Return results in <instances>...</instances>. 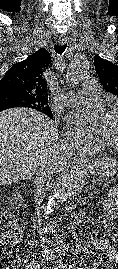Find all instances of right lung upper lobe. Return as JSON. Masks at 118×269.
Wrapping results in <instances>:
<instances>
[{
	"label": "right lung upper lobe",
	"mask_w": 118,
	"mask_h": 269,
	"mask_svg": "<svg viewBox=\"0 0 118 269\" xmlns=\"http://www.w3.org/2000/svg\"><path fill=\"white\" fill-rule=\"evenodd\" d=\"M50 65L51 57L45 48H40L26 60L14 64L0 80V109L12 108L8 96L13 94L28 96L47 103V81L43 73ZM39 111L53 118L49 107Z\"/></svg>",
	"instance_id": "1"
}]
</instances>
